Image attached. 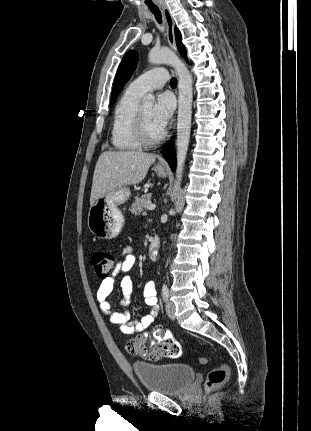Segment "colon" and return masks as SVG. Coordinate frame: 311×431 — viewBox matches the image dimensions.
Here are the masks:
<instances>
[{
  "label": "colon",
  "mask_w": 311,
  "mask_h": 431,
  "mask_svg": "<svg viewBox=\"0 0 311 431\" xmlns=\"http://www.w3.org/2000/svg\"><path fill=\"white\" fill-rule=\"evenodd\" d=\"M114 263L115 258L113 254L106 250H95L90 256V264L95 274L102 279L109 276ZM125 349L131 355L143 357L149 360H157L160 358L176 359L181 355V346L172 337L150 339L145 336H139L128 341ZM199 362L201 364H206L207 358L200 357ZM228 374L229 367L225 363L212 369L207 375V390L220 388L226 382Z\"/></svg>",
  "instance_id": "5ec220e1"
}]
</instances>
